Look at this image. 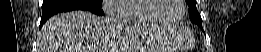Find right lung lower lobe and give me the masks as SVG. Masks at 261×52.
<instances>
[{
	"instance_id": "98d812e1",
	"label": "right lung lower lobe",
	"mask_w": 261,
	"mask_h": 52,
	"mask_svg": "<svg viewBox=\"0 0 261 52\" xmlns=\"http://www.w3.org/2000/svg\"><path fill=\"white\" fill-rule=\"evenodd\" d=\"M71 10H88L97 15H104L101 7L85 4L80 0H44L42 6V17L40 27L47 21L49 17L59 12H67Z\"/></svg>"
}]
</instances>
